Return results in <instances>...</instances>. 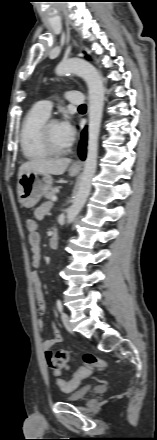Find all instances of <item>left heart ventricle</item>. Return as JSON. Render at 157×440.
<instances>
[{
    "instance_id": "left-heart-ventricle-1",
    "label": "left heart ventricle",
    "mask_w": 157,
    "mask_h": 440,
    "mask_svg": "<svg viewBox=\"0 0 157 440\" xmlns=\"http://www.w3.org/2000/svg\"><path fill=\"white\" fill-rule=\"evenodd\" d=\"M49 133H50L51 141L56 147L65 148L69 146L61 134L59 123H53L50 126Z\"/></svg>"
}]
</instances>
